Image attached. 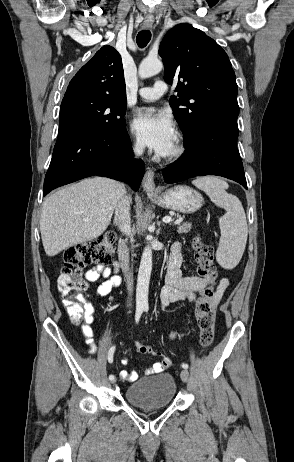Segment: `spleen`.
I'll use <instances>...</instances> for the list:
<instances>
[{
  "mask_svg": "<svg viewBox=\"0 0 294 462\" xmlns=\"http://www.w3.org/2000/svg\"><path fill=\"white\" fill-rule=\"evenodd\" d=\"M192 184L203 190L216 206L226 210L219 220L221 238L216 260L223 268L232 269L239 263L247 241L248 228L243 206L236 196L226 192L228 184L218 177H199Z\"/></svg>",
  "mask_w": 294,
  "mask_h": 462,
  "instance_id": "3e777b00",
  "label": "spleen"
}]
</instances>
